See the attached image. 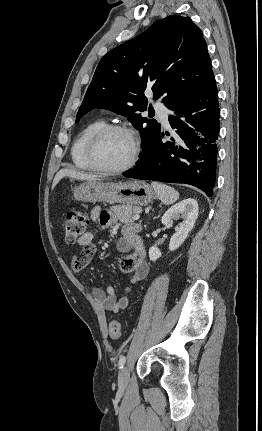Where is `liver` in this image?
Segmentation results:
<instances>
[{
    "label": "liver",
    "mask_w": 262,
    "mask_h": 431,
    "mask_svg": "<svg viewBox=\"0 0 262 431\" xmlns=\"http://www.w3.org/2000/svg\"><path fill=\"white\" fill-rule=\"evenodd\" d=\"M64 177H70L81 181L83 180L93 181V180H98L100 178V176H97V175L82 173L73 169L63 168L60 171H58V173L55 175L52 183V190L55 188L58 182Z\"/></svg>",
    "instance_id": "obj_1"
}]
</instances>
